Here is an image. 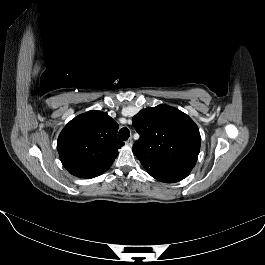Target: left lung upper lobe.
<instances>
[{"label": "left lung upper lobe", "mask_w": 265, "mask_h": 265, "mask_svg": "<svg viewBox=\"0 0 265 265\" xmlns=\"http://www.w3.org/2000/svg\"><path fill=\"white\" fill-rule=\"evenodd\" d=\"M141 139L133 153L144 168L197 159L201 137L197 125L180 110L158 105L141 110L133 117Z\"/></svg>", "instance_id": "5c2ea615"}]
</instances>
